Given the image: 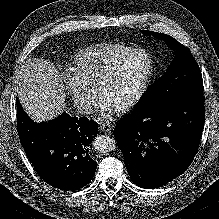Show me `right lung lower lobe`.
<instances>
[{"label":"right lung lower lobe","instance_id":"1","mask_svg":"<svg viewBox=\"0 0 219 219\" xmlns=\"http://www.w3.org/2000/svg\"><path fill=\"white\" fill-rule=\"evenodd\" d=\"M17 131L26 155L39 176L49 185L78 190L93 178L97 162L88 147L97 135V123L65 112L48 123H37L17 100Z\"/></svg>","mask_w":219,"mask_h":219}]
</instances>
